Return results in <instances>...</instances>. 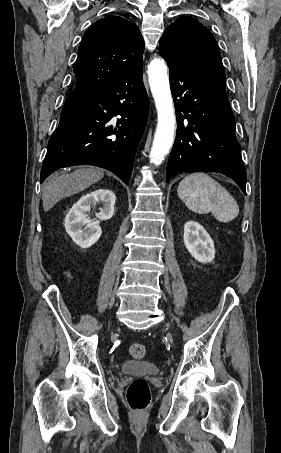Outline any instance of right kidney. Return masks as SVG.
Wrapping results in <instances>:
<instances>
[{
    "mask_svg": "<svg viewBox=\"0 0 281 453\" xmlns=\"http://www.w3.org/2000/svg\"><path fill=\"white\" fill-rule=\"evenodd\" d=\"M116 196L109 188H98L93 192L83 194L65 216L66 233L70 235L72 241L79 245L81 249H88L94 245L101 237L102 229L100 220H107L114 214ZM102 202L100 212H96V218H88L87 212L91 210V204ZM100 218V220H97Z\"/></svg>",
    "mask_w": 281,
    "mask_h": 453,
    "instance_id": "ca27d5eb",
    "label": "right kidney"
}]
</instances>
